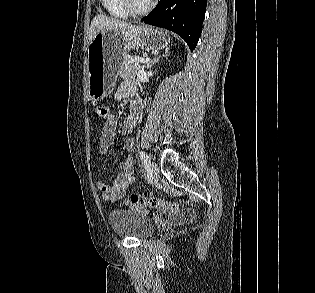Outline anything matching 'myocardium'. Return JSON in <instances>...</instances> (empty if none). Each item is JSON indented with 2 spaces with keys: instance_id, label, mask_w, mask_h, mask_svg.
I'll use <instances>...</instances> for the list:
<instances>
[{
  "instance_id": "obj_1",
  "label": "myocardium",
  "mask_w": 315,
  "mask_h": 293,
  "mask_svg": "<svg viewBox=\"0 0 315 293\" xmlns=\"http://www.w3.org/2000/svg\"><path fill=\"white\" fill-rule=\"evenodd\" d=\"M122 8L130 15H143L152 10L155 5V0H151L145 7L137 8L133 4V0H119Z\"/></svg>"
}]
</instances>
